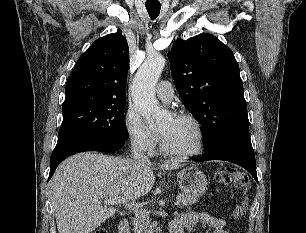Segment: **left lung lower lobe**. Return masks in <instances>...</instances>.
<instances>
[{"label":"left lung lower lobe","instance_id":"obj_1","mask_svg":"<svg viewBox=\"0 0 306 233\" xmlns=\"http://www.w3.org/2000/svg\"><path fill=\"white\" fill-rule=\"evenodd\" d=\"M195 161L225 160L245 168L258 182L254 150L249 134L220 138L205 147V153L192 158Z\"/></svg>","mask_w":306,"mask_h":233}]
</instances>
